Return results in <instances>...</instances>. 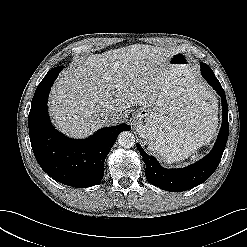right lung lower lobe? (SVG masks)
<instances>
[{
  "label": "right lung lower lobe",
  "mask_w": 247,
  "mask_h": 247,
  "mask_svg": "<svg viewBox=\"0 0 247 247\" xmlns=\"http://www.w3.org/2000/svg\"><path fill=\"white\" fill-rule=\"evenodd\" d=\"M64 66L52 68L38 85L29 113V134L35 158L56 181L85 188L98 184L104 162L118 135L131 127L121 124L100 129L86 140L70 139L51 125L47 101L51 86Z\"/></svg>",
  "instance_id": "obj_1"
}]
</instances>
